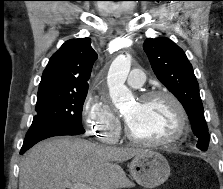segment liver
Listing matches in <instances>:
<instances>
[{
    "instance_id": "obj_1",
    "label": "liver",
    "mask_w": 223,
    "mask_h": 189,
    "mask_svg": "<svg viewBox=\"0 0 223 189\" xmlns=\"http://www.w3.org/2000/svg\"><path fill=\"white\" fill-rule=\"evenodd\" d=\"M144 151L72 137L51 138L36 144L22 158L19 189H66L67 183L88 184L96 189L126 187L129 180L118 163Z\"/></svg>"
}]
</instances>
